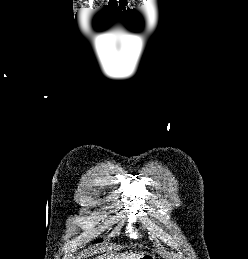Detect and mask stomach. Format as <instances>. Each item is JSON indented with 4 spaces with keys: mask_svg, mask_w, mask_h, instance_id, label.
<instances>
[{
    "mask_svg": "<svg viewBox=\"0 0 248 259\" xmlns=\"http://www.w3.org/2000/svg\"><path fill=\"white\" fill-rule=\"evenodd\" d=\"M140 259H156L155 255L154 254H151V253H146V254H143Z\"/></svg>",
    "mask_w": 248,
    "mask_h": 259,
    "instance_id": "obj_1",
    "label": "stomach"
}]
</instances>
